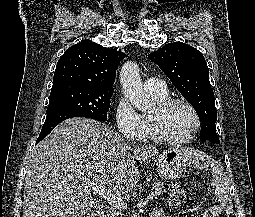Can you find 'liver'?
Masks as SVG:
<instances>
[{"label":"liver","instance_id":"obj_1","mask_svg":"<svg viewBox=\"0 0 255 217\" xmlns=\"http://www.w3.org/2000/svg\"><path fill=\"white\" fill-rule=\"evenodd\" d=\"M133 151V154L130 151ZM186 156H200L183 149ZM155 146L129 145L111 128L87 118L60 123L34 149L24 185L23 217H84L94 205L88 181L123 194L136 186V161L149 162Z\"/></svg>","mask_w":255,"mask_h":217}]
</instances>
